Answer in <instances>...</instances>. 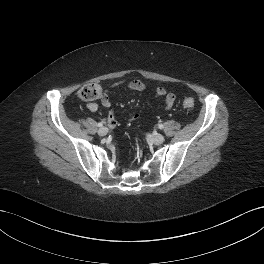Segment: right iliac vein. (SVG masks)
Returning <instances> with one entry per match:
<instances>
[{
	"instance_id": "obj_1",
	"label": "right iliac vein",
	"mask_w": 264,
	"mask_h": 264,
	"mask_svg": "<svg viewBox=\"0 0 264 264\" xmlns=\"http://www.w3.org/2000/svg\"><path fill=\"white\" fill-rule=\"evenodd\" d=\"M108 133V129L106 127H101L99 130H98V134L100 136H105L106 134Z\"/></svg>"
}]
</instances>
